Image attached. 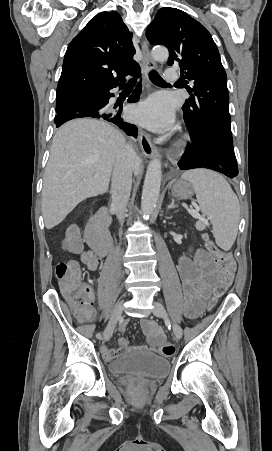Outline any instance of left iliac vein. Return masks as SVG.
I'll use <instances>...</instances> for the list:
<instances>
[{"mask_svg":"<svg viewBox=\"0 0 272 451\" xmlns=\"http://www.w3.org/2000/svg\"><path fill=\"white\" fill-rule=\"evenodd\" d=\"M153 313L155 316H157L159 318L169 320V317H168V314H167L165 308L159 302L154 301ZM172 329H173V334H174L175 338L177 340H179L182 337L181 327L176 322H172Z\"/></svg>","mask_w":272,"mask_h":451,"instance_id":"left-iliac-vein-1","label":"left iliac vein"}]
</instances>
